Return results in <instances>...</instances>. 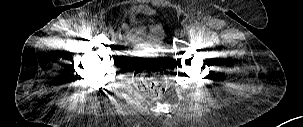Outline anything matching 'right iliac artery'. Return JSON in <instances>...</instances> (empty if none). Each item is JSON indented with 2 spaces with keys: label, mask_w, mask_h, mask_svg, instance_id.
<instances>
[{
  "label": "right iliac artery",
  "mask_w": 303,
  "mask_h": 127,
  "mask_svg": "<svg viewBox=\"0 0 303 127\" xmlns=\"http://www.w3.org/2000/svg\"><path fill=\"white\" fill-rule=\"evenodd\" d=\"M90 24L93 25V26H97L98 25V21L97 20H93V21H91Z\"/></svg>",
  "instance_id": "obj_1"
}]
</instances>
